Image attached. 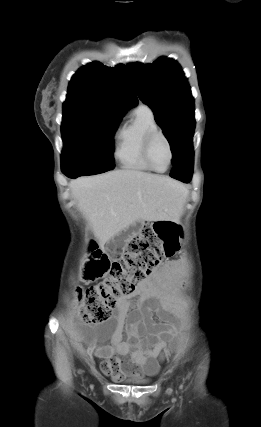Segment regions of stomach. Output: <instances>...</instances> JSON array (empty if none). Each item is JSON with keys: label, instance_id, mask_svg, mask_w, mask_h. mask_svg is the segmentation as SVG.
I'll return each mask as SVG.
<instances>
[{"label": "stomach", "instance_id": "1", "mask_svg": "<svg viewBox=\"0 0 261 427\" xmlns=\"http://www.w3.org/2000/svg\"><path fill=\"white\" fill-rule=\"evenodd\" d=\"M132 231H133V233H134V232H135V229H133Z\"/></svg>", "mask_w": 261, "mask_h": 427}]
</instances>
